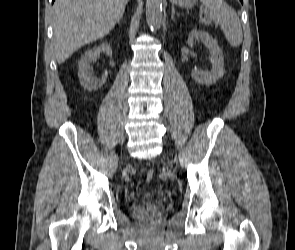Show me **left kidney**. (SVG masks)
<instances>
[{
    "label": "left kidney",
    "mask_w": 295,
    "mask_h": 250,
    "mask_svg": "<svg viewBox=\"0 0 295 250\" xmlns=\"http://www.w3.org/2000/svg\"><path fill=\"white\" fill-rule=\"evenodd\" d=\"M194 41H201L208 48L211 54L209 61L211 62L212 68L209 72L194 69L191 72V77L200 84L212 85L224 75V58L222 51L218 42L205 31L193 29L189 33L187 43L192 46Z\"/></svg>",
    "instance_id": "1"
}]
</instances>
